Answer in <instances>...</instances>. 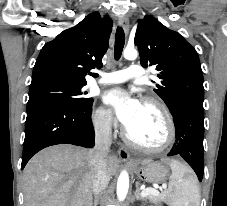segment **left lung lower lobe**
<instances>
[{
    "instance_id": "obj_1",
    "label": "left lung lower lobe",
    "mask_w": 227,
    "mask_h": 206,
    "mask_svg": "<svg viewBox=\"0 0 227 206\" xmlns=\"http://www.w3.org/2000/svg\"><path fill=\"white\" fill-rule=\"evenodd\" d=\"M176 143L168 156L180 155L202 180L204 170V108L201 104L185 103L172 112Z\"/></svg>"
}]
</instances>
